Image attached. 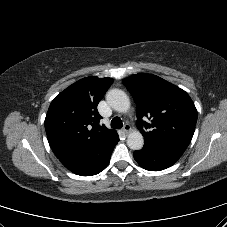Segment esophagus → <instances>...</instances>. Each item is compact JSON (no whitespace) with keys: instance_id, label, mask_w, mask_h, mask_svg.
<instances>
[{"instance_id":"obj_1","label":"esophagus","mask_w":227,"mask_h":227,"mask_svg":"<svg viewBox=\"0 0 227 227\" xmlns=\"http://www.w3.org/2000/svg\"><path fill=\"white\" fill-rule=\"evenodd\" d=\"M132 130V128H131V126L129 125V124H125L124 126H123V132L124 133H129L130 131Z\"/></svg>"}]
</instances>
